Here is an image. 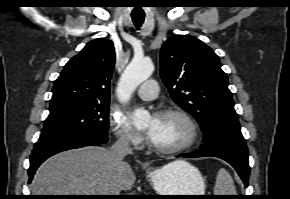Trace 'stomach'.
<instances>
[{"mask_svg": "<svg viewBox=\"0 0 290 199\" xmlns=\"http://www.w3.org/2000/svg\"><path fill=\"white\" fill-rule=\"evenodd\" d=\"M177 166L167 164L147 172V177L158 195H204L205 180L191 164L177 160ZM170 198L196 199L198 196H175Z\"/></svg>", "mask_w": 290, "mask_h": 199, "instance_id": "obj_1", "label": "stomach"}]
</instances>
